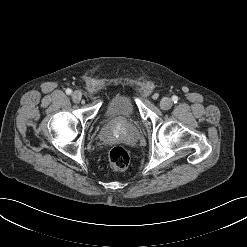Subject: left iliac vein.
Listing matches in <instances>:
<instances>
[{
    "instance_id": "4c4485c4",
    "label": "left iliac vein",
    "mask_w": 247,
    "mask_h": 247,
    "mask_svg": "<svg viewBox=\"0 0 247 247\" xmlns=\"http://www.w3.org/2000/svg\"><path fill=\"white\" fill-rule=\"evenodd\" d=\"M172 100L170 98H163L161 101H160V107L161 109L163 110H168L172 107Z\"/></svg>"
}]
</instances>
